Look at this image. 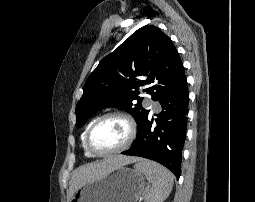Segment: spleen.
Listing matches in <instances>:
<instances>
[{"label":"spleen","mask_w":255,"mask_h":202,"mask_svg":"<svg viewBox=\"0 0 255 202\" xmlns=\"http://www.w3.org/2000/svg\"><path fill=\"white\" fill-rule=\"evenodd\" d=\"M135 170L142 173L152 185L145 195V202H163L170 194L174 176L162 165L146 159H139L134 166Z\"/></svg>","instance_id":"spleen-1"}]
</instances>
